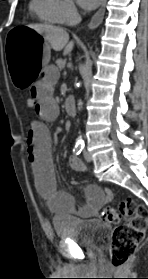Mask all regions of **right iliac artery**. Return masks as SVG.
<instances>
[{"instance_id":"obj_1","label":"right iliac artery","mask_w":148,"mask_h":279,"mask_svg":"<svg viewBox=\"0 0 148 279\" xmlns=\"http://www.w3.org/2000/svg\"><path fill=\"white\" fill-rule=\"evenodd\" d=\"M82 149H83L82 146H77V145H76V146L73 148V153H74L75 155H79V154L81 153Z\"/></svg>"}]
</instances>
